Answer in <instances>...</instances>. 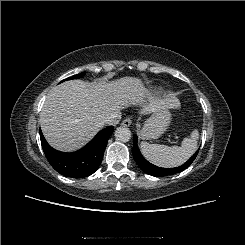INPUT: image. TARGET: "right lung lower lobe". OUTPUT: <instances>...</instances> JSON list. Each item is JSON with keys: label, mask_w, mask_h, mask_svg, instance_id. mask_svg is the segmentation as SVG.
<instances>
[{"label": "right lung lower lobe", "mask_w": 245, "mask_h": 245, "mask_svg": "<svg viewBox=\"0 0 245 245\" xmlns=\"http://www.w3.org/2000/svg\"><path fill=\"white\" fill-rule=\"evenodd\" d=\"M113 130V126L101 130L85 147L72 153L53 149L41 131L40 139L47 160L57 172L67 177L83 178L98 170Z\"/></svg>", "instance_id": "98d812e1"}]
</instances>
